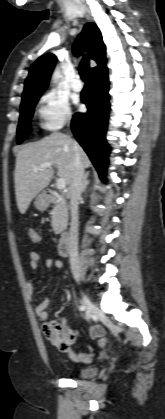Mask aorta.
I'll use <instances>...</instances> for the list:
<instances>
[{
	"mask_svg": "<svg viewBox=\"0 0 165 419\" xmlns=\"http://www.w3.org/2000/svg\"><path fill=\"white\" fill-rule=\"evenodd\" d=\"M61 77H62L61 70H60V68H59V67H57V68L54 70V73H53V75H52V82H53V83H57V82L61 79Z\"/></svg>",
	"mask_w": 165,
	"mask_h": 419,
	"instance_id": "obj_1",
	"label": "aorta"
}]
</instances>
